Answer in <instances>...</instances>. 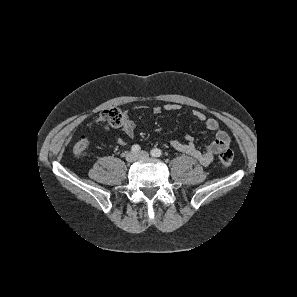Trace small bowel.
I'll list each match as a JSON object with an SVG mask.
<instances>
[{
	"label": "small bowel",
	"instance_id": "c3829d8e",
	"mask_svg": "<svg viewBox=\"0 0 297 297\" xmlns=\"http://www.w3.org/2000/svg\"><path fill=\"white\" fill-rule=\"evenodd\" d=\"M164 109L166 111H177L180 109V106L177 104H167ZM161 111V107L156 106L152 108V113L154 115L161 113ZM192 115L197 120L204 122L207 129L216 132L213 141L207 145L205 151L203 152L196 148L193 138L189 136L185 138V142L173 140L171 145L177 151L196 159L204 166H208L213 162L215 155L225 150L229 146L230 139L225 131L219 129V123L215 118L208 117L205 113L199 110L192 111ZM121 129L124 132L126 138H118L116 142L117 144L124 146L130 139L134 137L136 124L133 120L125 118Z\"/></svg>",
	"mask_w": 297,
	"mask_h": 297
}]
</instances>
